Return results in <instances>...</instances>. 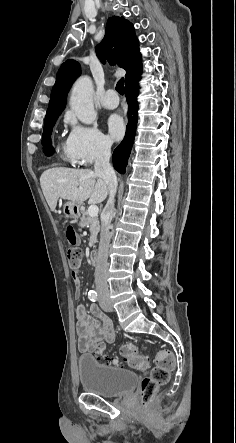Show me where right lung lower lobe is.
I'll return each instance as SVG.
<instances>
[{"label": "right lung lower lobe", "instance_id": "1", "mask_svg": "<svg viewBox=\"0 0 236 443\" xmlns=\"http://www.w3.org/2000/svg\"><path fill=\"white\" fill-rule=\"evenodd\" d=\"M141 73L142 68H140L125 79V95L128 103V124L126 126V134L124 140L116 147L113 152V164L115 169L120 173L125 172V168L135 137L138 110V81L140 80ZM44 152L47 155H51L54 152L53 147Z\"/></svg>", "mask_w": 236, "mask_h": 443}]
</instances>
